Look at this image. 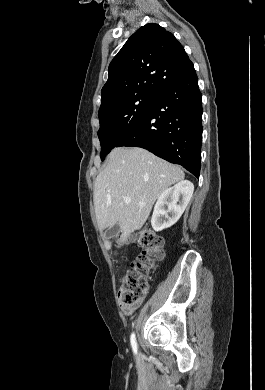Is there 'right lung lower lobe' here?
<instances>
[{"instance_id":"obj_1","label":"right lung lower lobe","mask_w":265,"mask_h":390,"mask_svg":"<svg viewBox=\"0 0 265 390\" xmlns=\"http://www.w3.org/2000/svg\"><path fill=\"white\" fill-rule=\"evenodd\" d=\"M201 138L202 99L191 64L154 95L148 111L116 147L147 149L199 178Z\"/></svg>"}]
</instances>
